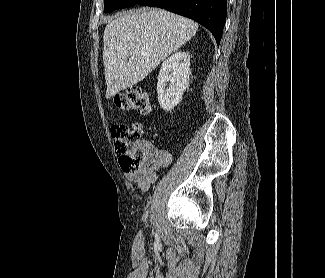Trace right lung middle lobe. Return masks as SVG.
<instances>
[{"mask_svg": "<svg viewBox=\"0 0 325 278\" xmlns=\"http://www.w3.org/2000/svg\"><path fill=\"white\" fill-rule=\"evenodd\" d=\"M138 0H104V11L112 12L118 8L134 6Z\"/></svg>", "mask_w": 325, "mask_h": 278, "instance_id": "obj_1", "label": "right lung middle lobe"}]
</instances>
